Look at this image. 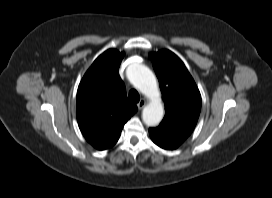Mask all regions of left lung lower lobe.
<instances>
[{
  "instance_id": "left-lung-lower-lobe-1",
  "label": "left lung lower lobe",
  "mask_w": 272,
  "mask_h": 198,
  "mask_svg": "<svg viewBox=\"0 0 272 198\" xmlns=\"http://www.w3.org/2000/svg\"><path fill=\"white\" fill-rule=\"evenodd\" d=\"M149 133L152 141L156 145L169 150L179 147L188 137L162 125L156 128H150Z\"/></svg>"
}]
</instances>
